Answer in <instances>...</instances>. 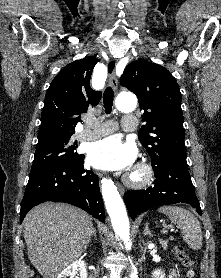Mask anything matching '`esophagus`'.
<instances>
[{
	"instance_id": "34e87169",
	"label": "esophagus",
	"mask_w": 221,
	"mask_h": 278,
	"mask_svg": "<svg viewBox=\"0 0 221 278\" xmlns=\"http://www.w3.org/2000/svg\"><path fill=\"white\" fill-rule=\"evenodd\" d=\"M116 64H117L116 62L111 63V67L113 68V70L109 74V84L114 90H116L117 87H118V80H117V77H116V74H115ZM119 191H120L121 194L124 193V189L121 186H119Z\"/></svg>"
}]
</instances>
